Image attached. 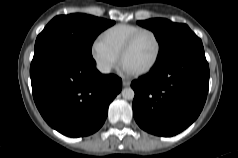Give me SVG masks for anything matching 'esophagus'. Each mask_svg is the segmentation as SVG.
Instances as JSON below:
<instances>
[{
    "mask_svg": "<svg viewBox=\"0 0 238 158\" xmlns=\"http://www.w3.org/2000/svg\"><path fill=\"white\" fill-rule=\"evenodd\" d=\"M122 84H123L124 87H128V86H130V81L123 80Z\"/></svg>",
    "mask_w": 238,
    "mask_h": 158,
    "instance_id": "1",
    "label": "esophagus"
}]
</instances>
